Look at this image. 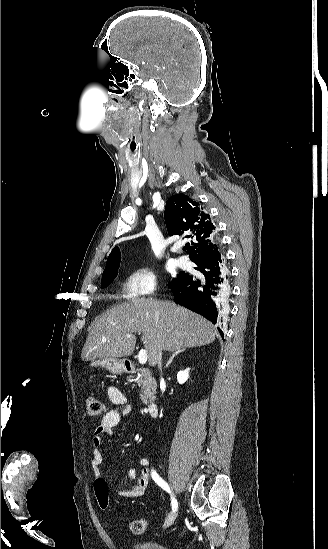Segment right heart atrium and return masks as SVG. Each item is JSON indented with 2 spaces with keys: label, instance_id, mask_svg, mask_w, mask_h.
<instances>
[{
  "label": "right heart atrium",
  "instance_id": "right-heart-atrium-1",
  "mask_svg": "<svg viewBox=\"0 0 328 549\" xmlns=\"http://www.w3.org/2000/svg\"><path fill=\"white\" fill-rule=\"evenodd\" d=\"M157 287L155 266L149 261L141 262L129 267L121 280V293L124 303H152L146 302Z\"/></svg>",
  "mask_w": 328,
  "mask_h": 549
}]
</instances>
